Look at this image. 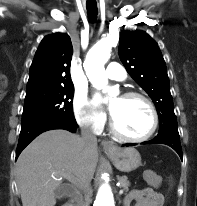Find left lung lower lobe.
I'll use <instances>...</instances> for the list:
<instances>
[{
    "mask_svg": "<svg viewBox=\"0 0 197 206\" xmlns=\"http://www.w3.org/2000/svg\"><path fill=\"white\" fill-rule=\"evenodd\" d=\"M143 144H165L173 148L179 154L181 159L183 157L181 144H180V137L177 134H172V133L160 134L148 142H143ZM133 145L135 144L129 143V144H124L123 146H133Z\"/></svg>",
    "mask_w": 197,
    "mask_h": 206,
    "instance_id": "0a47b994",
    "label": "left lung lower lobe"
}]
</instances>
